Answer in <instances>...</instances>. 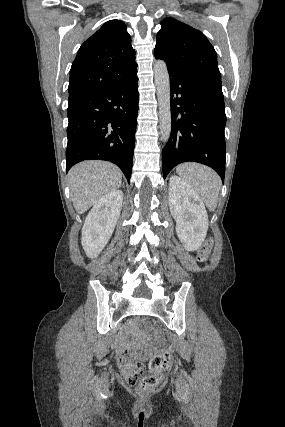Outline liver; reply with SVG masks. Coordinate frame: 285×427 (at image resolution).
<instances>
[{
	"label": "liver",
	"mask_w": 285,
	"mask_h": 427,
	"mask_svg": "<svg viewBox=\"0 0 285 427\" xmlns=\"http://www.w3.org/2000/svg\"><path fill=\"white\" fill-rule=\"evenodd\" d=\"M68 180L74 208L82 214L121 186L122 172L109 162L89 160L72 167Z\"/></svg>",
	"instance_id": "liver-1"
}]
</instances>
